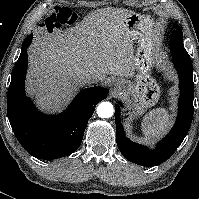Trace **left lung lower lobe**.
<instances>
[{"label": "left lung lower lobe", "mask_w": 199, "mask_h": 199, "mask_svg": "<svg viewBox=\"0 0 199 199\" xmlns=\"http://www.w3.org/2000/svg\"><path fill=\"white\" fill-rule=\"evenodd\" d=\"M173 64L179 76L180 97L178 101V115L176 123L170 133L150 151L143 145L129 140L124 133L120 120V106H115V123L117 129V145L123 156L138 165L157 166L173 155L187 135L193 119L194 83L192 65L173 57Z\"/></svg>", "instance_id": "0a47b994"}]
</instances>
